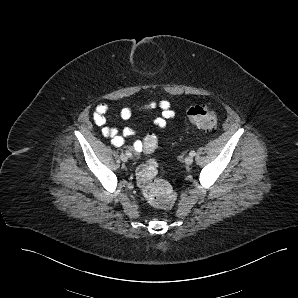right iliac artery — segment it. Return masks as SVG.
Returning a JSON list of instances; mask_svg holds the SVG:
<instances>
[{
  "mask_svg": "<svg viewBox=\"0 0 298 298\" xmlns=\"http://www.w3.org/2000/svg\"><path fill=\"white\" fill-rule=\"evenodd\" d=\"M126 155H127L129 158L132 157V154H131V152H129V151H126Z\"/></svg>",
  "mask_w": 298,
  "mask_h": 298,
  "instance_id": "82829eb1",
  "label": "right iliac artery"
}]
</instances>
